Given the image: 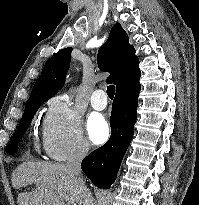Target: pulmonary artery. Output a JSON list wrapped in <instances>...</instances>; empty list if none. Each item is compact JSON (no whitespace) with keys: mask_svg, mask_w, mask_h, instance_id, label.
Masks as SVG:
<instances>
[{"mask_svg":"<svg viewBox=\"0 0 199 205\" xmlns=\"http://www.w3.org/2000/svg\"><path fill=\"white\" fill-rule=\"evenodd\" d=\"M107 98L102 89H97L91 96V105L95 110H103L107 106Z\"/></svg>","mask_w":199,"mask_h":205,"instance_id":"1","label":"pulmonary artery"}]
</instances>
